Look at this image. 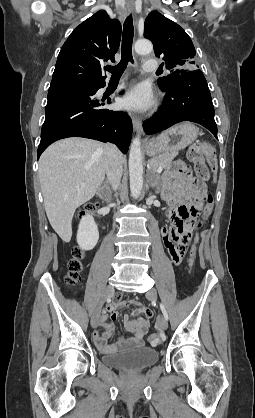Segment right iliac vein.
I'll return each instance as SVG.
<instances>
[{"mask_svg": "<svg viewBox=\"0 0 255 418\" xmlns=\"http://www.w3.org/2000/svg\"><path fill=\"white\" fill-rule=\"evenodd\" d=\"M113 294H114V288H113V286L108 285L105 288L104 292H103V295H102V298H101V301L99 303L98 308L96 309V311L94 312V314H93V316L91 318V326L93 328L97 327V325H98L102 305L104 304V302L106 300H108L109 298H111Z\"/></svg>", "mask_w": 255, "mask_h": 418, "instance_id": "63e3f726", "label": "right iliac vein"}]
</instances>
